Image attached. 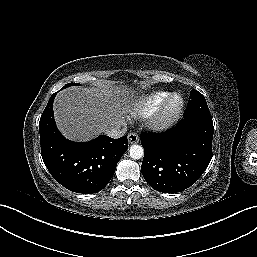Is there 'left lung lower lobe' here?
Segmentation results:
<instances>
[{"instance_id": "left-lung-lower-lobe-1", "label": "left lung lower lobe", "mask_w": 257, "mask_h": 257, "mask_svg": "<svg viewBox=\"0 0 257 257\" xmlns=\"http://www.w3.org/2000/svg\"><path fill=\"white\" fill-rule=\"evenodd\" d=\"M212 118L182 119L161 134L144 133L141 171L155 190L176 193L193 185L212 158Z\"/></svg>"}]
</instances>
